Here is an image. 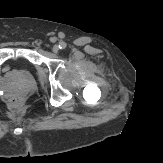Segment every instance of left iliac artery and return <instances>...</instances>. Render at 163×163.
Returning <instances> with one entry per match:
<instances>
[{
	"label": "left iliac artery",
	"instance_id": "obj_1",
	"mask_svg": "<svg viewBox=\"0 0 163 163\" xmlns=\"http://www.w3.org/2000/svg\"><path fill=\"white\" fill-rule=\"evenodd\" d=\"M59 48L62 49V50L65 49L66 48V43L65 42H60L59 43Z\"/></svg>",
	"mask_w": 163,
	"mask_h": 163
}]
</instances>
